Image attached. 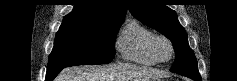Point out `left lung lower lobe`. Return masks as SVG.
Wrapping results in <instances>:
<instances>
[{
    "label": "left lung lower lobe",
    "mask_w": 237,
    "mask_h": 81,
    "mask_svg": "<svg viewBox=\"0 0 237 81\" xmlns=\"http://www.w3.org/2000/svg\"><path fill=\"white\" fill-rule=\"evenodd\" d=\"M186 77L191 78L195 81H201V78H198V77H192V76H186Z\"/></svg>",
    "instance_id": "0a47b994"
}]
</instances>
